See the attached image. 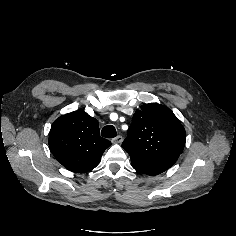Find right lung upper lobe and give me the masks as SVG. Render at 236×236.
<instances>
[{
	"mask_svg": "<svg viewBox=\"0 0 236 236\" xmlns=\"http://www.w3.org/2000/svg\"><path fill=\"white\" fill-rule=\"evenodd\" d=\"M111 142L99 134L98 121L83 109L65 114L53 123L49 148L54 157L72 172L94 169Z\"/></svg>",
	"mask_w": 236,
	"mask_h": 236,
	"instance_id": "1",
	"label": "right lung upper lobe"
}]
</instances>
